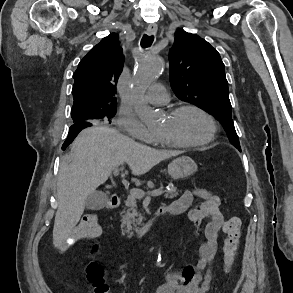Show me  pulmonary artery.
<instances>
[{"mask_svg":"<svg viewBox=\"0 0 293 293\" xmlns=\"http://www.w3.org/2000/svg\"><path fill=\"white\" fill-rule=\"evenodd\" d=\"M144 98L154 105H164L169 101V94L161 83L150 86Z\"/></svg>","mask_w":293,"mask_h":293,"instance_id":"e3ab8cb5","label":"pulmonary artery"}]
</instances>
